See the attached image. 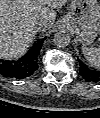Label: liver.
Here are the masks:
<instances>
[{
	"label": "liver",
	"mask_w": 100,
	"mask_h": 118,
	"mask_svg": "<svg viewBox=\"0 0 100 118\" xmlns=\"http://www.w3.org/2000/svg\"><path fill=\"white\" fill-rule=\"evenodd\" d=\"M68 0H0V58L15 60L23 56L36 35L34 25L50 29L55 9Z\"/></svg>",
	"instance_id": "1"
}]
</instances>
